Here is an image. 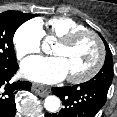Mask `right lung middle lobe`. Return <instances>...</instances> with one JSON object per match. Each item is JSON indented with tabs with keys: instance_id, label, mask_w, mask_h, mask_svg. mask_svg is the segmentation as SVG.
Here are the masks:
<instances>
[{
	"instance_id": "1",
	"label": "right lung middle lobe",
	"mask_w": 117,
	"mask_h": 117,
	"mask_svg": "<svg viewBox=\"0 0 117 117\" xmlns=\"http://www.w3.org/2000/svg\"><path fill=\"white\" fill-rule=\"evenodd\" d=\"M36 14L18 11L0 13V66L17 63L13 47V36L17 28Z\"/></svg>"
}]
</instances>
